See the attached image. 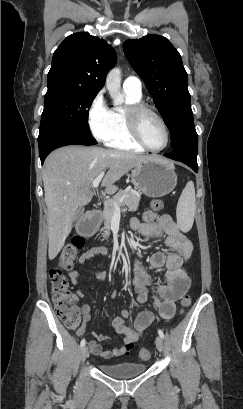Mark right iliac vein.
<instances>
[{
  "instance_id": "1",
  "label": "right iliac vein",
  "mask_w": 243,
  "mask_h": 409,
  "mask_svg": "<svg viewBox=\"0 0 243 409\" xmlns=\"http://www.w3.org/2000/svg\"><path fill=\"white\" fill-rule=\"evenodd\" d=\"M88 355H89L88 347H87V346H84V347L82 348V351H81L82 361H85V360L87 359Z\"/></svg>"
}]
</instances>
